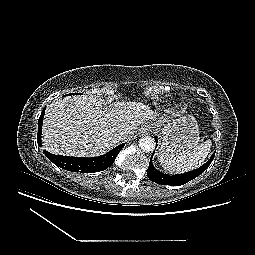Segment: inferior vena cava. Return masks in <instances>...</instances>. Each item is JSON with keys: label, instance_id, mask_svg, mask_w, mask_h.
I'll return each instance as SVG.
<instances>
[{"label": "inferior vena cava", "instance_id": "1", "mask_svg": "<svg viewBox=\"0 0 255 255\" xmlns=\"http://www.w3.org/2000/svg\"><path fill=\"white\" fill-rule=\"evenodd\" d=\"M128 133L126 131H118L115 136L118 140L122 141L127 138Z\"/></svg>", "mask_w": 255, "mask_h": 255}]
</instances>
